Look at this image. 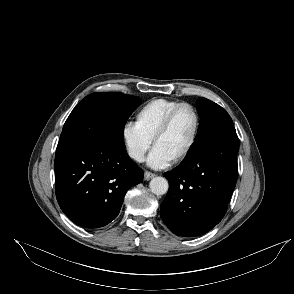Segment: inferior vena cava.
Segmentation results:
<instances>
[{
    "mask_svg": "<svg viewBox=\"0 0 294 294\" xmlns=\"http://www.w3.org/2000/svg\"><path fill=\"white\" fill-rule=\"evenodd\" d=\"M129 156L139 162L144 161V154L139 150H129Z\"/></svg>",
    "mask_w": 294,
    "mask_h": 294,
    "instance_id": "obj_1",
    "label": "inferior vena cava"
}]
</instances>
